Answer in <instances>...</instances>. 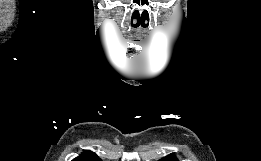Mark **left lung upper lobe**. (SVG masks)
I'll list each match as a JSON object with an SVG mask.
<instances>
[{
  "instance_id": "5c2ea615",
  "label": "left lung upper lobe",
  "mask_w": 261,
  "mask_h": 161,
  "mask_svg": "<svg viewBox=\"0 0 261 161\" xmlns=\"http://www.w3.org/2000/svg\"><path fill=\"white\" fill-rule=\"evenodd\" d=\"M159 161H178L174 155H169L165 158L160 159Z\"/></svg>"
}]
</instances>
